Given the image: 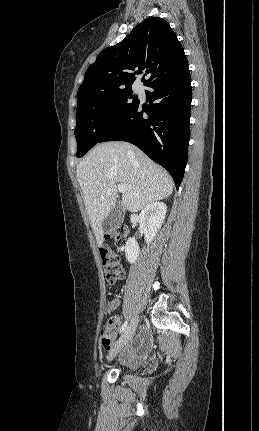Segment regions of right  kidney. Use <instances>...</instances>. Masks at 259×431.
<instances>
[{
	"label": "right kidney",
	"instance_id": "1",
	"mask_svg": "<svg viewBox=\"0 0 259 431\" xmlns=\"http://www.w3.org/2000/svg\"><path fill=\"white\" fill-rule=\"evenodd\" d=\"M167 206L163 202H153L141 211L139 214L140 228L145 234V241L149 244L156 236L157 231L160 229L165 216ZM140 249L135 238H129L126 242L125 256L130 264L136 262L139 257Z\"/></svg>",
	"mask_w": 259,
	"mask_h": 431
}]
</instances>
